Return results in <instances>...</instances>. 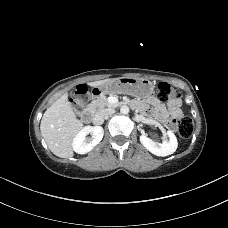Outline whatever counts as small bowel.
<instances>
[{"instance_id":"obj_1","label":"small bowel","mask_w":228,"mask_h":228,"mask_svg":"<svg viewBox=\"0 0 228 228\" xmlns=\"http://www.w3.org/2000/svg\"><path fill=\"white\" fill-rule=\"evenodd\" d=\"M149 102L155 105V109L158 112V118L165 124L170 123V117H178L181 115L180 100H174L168 104L160 103L156 98L152 97L149 99ZM132 106L136 108H142L145 112L149 110L144 108L141 103L137 100L132 101Z\"/></svg>"}]
</instances>
